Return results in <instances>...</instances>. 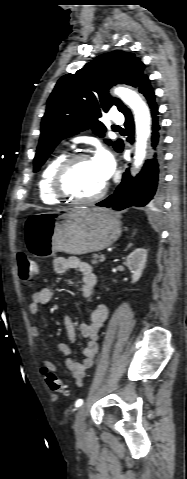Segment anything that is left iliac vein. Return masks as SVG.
I'll return each instance as SVG.
<instances>
[{
  "instance_id": "1",
  "label": "left iliac vein",
  "mask_w": 187,
  "mask_h": 479,
  "mask_svg": "<svg viewBox=\"0 0 187 479\" xmlns=\"http://www.w3.org/2000/svg\"><path fill=\"white\" fill-rule=\"evenodd\" d=\"M86 407L82 406L78 409L76 416H75V422H74V430L75 434L78 438L82 437L86 426H85V418H86Z\"/></svg>"
}]
</instances>
